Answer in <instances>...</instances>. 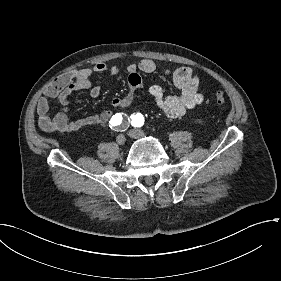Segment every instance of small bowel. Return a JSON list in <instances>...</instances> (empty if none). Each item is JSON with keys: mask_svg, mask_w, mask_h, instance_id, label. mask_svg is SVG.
Here are the masks:
<instances>
[{"mask_svg": "<svg viewBox=\"0 0 281 281\" xmlns=\"http://www.w3.org/2000/svg\"><path fill=\"white\" fill-rule=\"evenodd\" d=\"M156 69L153 60L145 59L139 63H130L126 70L128 73V91L123 97H114L111 100V109L105 110L96 115H90L78 119H69L67 112L70 105L71 95L78 90H88L92 98L99 97L101 89L93 84L92 78L95 74L109 72L111 75H118L120 68L117 66L108 67L105 63L99 62L93 67L83 68L68 72L57 77L45 90L37 104L39 126L45 132H74L88 126L107 123L114 111L128 108L136 90L142 87V79L139 73H152ZM172 79L178 93L165 95L162 88L154 85L149 88L150 95L154 98L157 107L168 118H180L189 110L200 105L204 96L199 92V78L188 67H180L172 72ZM49 98H56L62 110L54 116H49Z\"/></svg>", "mask_w": 281, "mask_h": 281, "instance_id": "c3829d8e", "label": "small bowel"}]
</instances>
